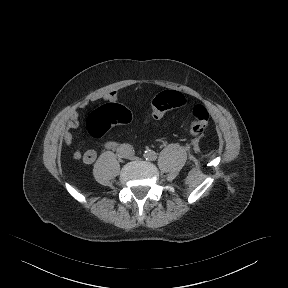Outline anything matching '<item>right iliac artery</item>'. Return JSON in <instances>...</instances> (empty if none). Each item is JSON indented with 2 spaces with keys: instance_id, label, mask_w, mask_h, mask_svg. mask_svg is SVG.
I'll list each match as a JSON object with an SVG mask.
<instances>
[{
  "instance_id": "1",
  "label": "right iliac artery",
  "mask_w": 288,
  "mask_h": 288,
  "mask_svg": "<svg viewBox=\"0 0 288 288\" xmlns=\"http://www.w3.org/2000/svg\"><path fill=\"white\" fill-rule=\"evenodd\" d=\"M118 155H122L125 152V148L124 147H119L117 149Z\"/></svg>"
}]
</instances>
